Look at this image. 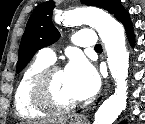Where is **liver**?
Segmentation results:
<instances>
[{"instance_id":"1","label":"liver","mask_w":145,"mask_h":124,"mask_svg":"<svg viewBox=\"0 0 145 124\" xmlns=\"http://www.w3.org/2000/svg\"><path fill=\"white\" fill-rule=\"evenodd\" d=\"M66 121V118L64 117H58L54 119H49V120H43L40 122H36L34 124H64Z\"/></svg>"}]
</instances>
